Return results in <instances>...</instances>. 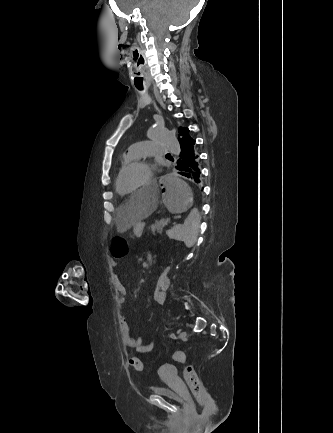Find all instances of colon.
Wrapping results in <instances>:
<instances>
[{
  "label": "colon",
  "mask_w": 333,
  "mask_h": 433,
  "mask_svg": "<svg viewBox=\"0 0 333 433\" xmlns=\"http://www.w3.org/2000/svg\"><path fill=\"white\" fill-rule=\"evenodd\" d=\"M129 252L128 237L127 236H112L111 237V252L112 258H124L125 253ZM171 270L170 264L164 265V270L157 276L155 281V289L153 290L154 299L153 302L156 305H160L163 302L161 286L164 284V280L168 276V271ZM174 360L183 366L184 379L187 382L192 394L200 404L207 402L209 394L205 387L201 377L189 362L187 354L183 351H177L174 354ZM131 366L138 372L143 371L144 365L138 357H132L130 359Z\"/></svg>",
  "instance_id": "colon-1"
}]
</instances>
